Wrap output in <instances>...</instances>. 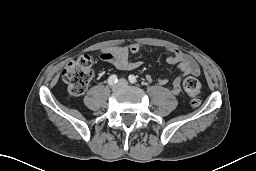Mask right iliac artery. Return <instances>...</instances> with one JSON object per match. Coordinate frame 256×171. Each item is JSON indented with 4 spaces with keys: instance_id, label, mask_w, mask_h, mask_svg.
I'll use <instances>...</instances> for the list:
<instances>
[{
    "instance_id": "obj_1",
    "label": "right iliac artery",
    "mask_w": 256,
    "mask_h": 171,
    "mask_svg": "<svg viewBox=\"0 0 256 171\" xmlns=\"http://www.w3.org/2000/svg\"><path fill=\"white\" fill-rule=\"evenodd\" d=\"M118 79H117V76L115 74L111 75L109 78H108V84L109 85H113L115 83H117Z\"/></svg>"
}]
</instances>
